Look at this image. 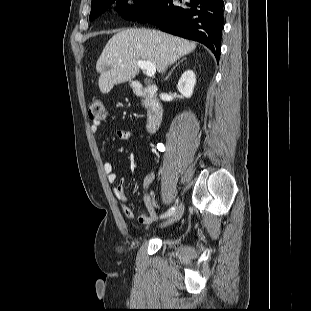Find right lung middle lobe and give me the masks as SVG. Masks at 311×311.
Returning a JSON list of instances; mask_svg holds the SVG:
<instances>
[{
    "label": "right lung middle lobe",
    "instance_id": "obj_1",
    "mask_svg": "<svg viewBox=\"0 0 311 311\" xmlns=\"http://www.w3.org/2000/svg\"><path fill=\"white\" fill-rule=\"evenodd\" d=\"M127 0H95L91 3V13L89 20L92 21L100 14L105 12L112 4L118 3L120 6L117 10L121 13L123 18L134 21L145 15L149 10L156 6L160 0H135L136 5L128 8V5H123Z\"/></svg>",
    "mask_w": 311,
    "mask_h": 311
}]
</instances>
